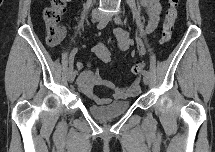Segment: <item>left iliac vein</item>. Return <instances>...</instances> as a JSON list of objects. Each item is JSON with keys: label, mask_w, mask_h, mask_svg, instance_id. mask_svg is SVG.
I'll list each match as a JSON object with an SVG mask.
<instances>
[{"label": "left iliac vein", "mask_w": 215, "mask_h": 152, "mask_svg": "<svg viewBox=\"0 0 215 152\" xmlns=\"http://www.w3.org/2000/svg\"><path fill=\"white\" fill-rule=\"evenodd\" d=\"M104 19H108V20H111V15L109 14H105L104 15ZM147 74L145 76H143V82L144 84L148 85L149 82H150V74L148 71H145Z\"/></svg>", "instance_id": "1"}]
</instances>
